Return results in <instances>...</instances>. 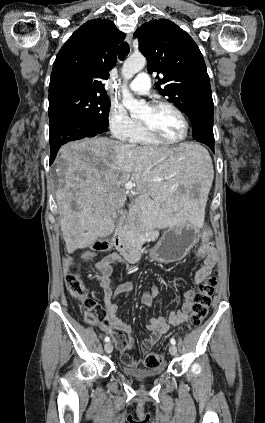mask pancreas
<instances>
[{"label": "pancreas", "instance_id": "cf45deb5", "mask_svg": "<svg viewBox=\"0 0 265 423\" xmlns=\"http://www.w3.org/2000/svg\"><path fill=\"white\" fill-rule=\"evenodd\" d=\"M155 233L156 231L154 230H149L147 232H144V230L140 228H133V227H130L127 230V236L131 240L132 245L143 243L148 238H151L152 236H154Z\"/></svg>", "mask_w": 265, "mask_h": 423}]
</instances>
